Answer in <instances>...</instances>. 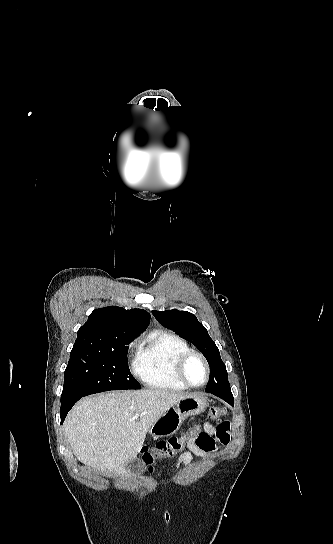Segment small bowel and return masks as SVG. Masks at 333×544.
Segmentation results:
<instances>
[{
  "label": "small bowel",
  "mask_w": 333,
  "mask_h": 544,
  "mask_svg": "<svg viewBox=\"0 0 333 544\" xmlns=\"http://www.w3.org/2000/svg\"><path fill=\"white\" fill-rule=\"evenodd\" d=\"M230 439L231 425L228 421L218 420L214 425L205 423L204 431L188 441V451L179 455L177 465L188 466L194 455L205 456L216 450L217 443L227 444Z\"/></svg>",
  "instance_id": "c3829d8e"
}]
</instances>
